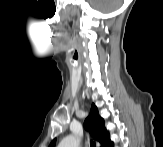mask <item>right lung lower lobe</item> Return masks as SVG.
<instances>
[{"instance_id": "right-lung-lower-lobe-1", "label": "right lung lower lobe", "mask_w": 163, "mask_h": 147, "mask_svg": "<svg viewBox=\"0 0 163 147\" xmlns=\"http://www.w3.org/2000/svg\"><path fill=\"white\" fill-rule=\"evenodd\" d=\"M106 147H113V142H110Z\"/></svg>"}]
</instances>
